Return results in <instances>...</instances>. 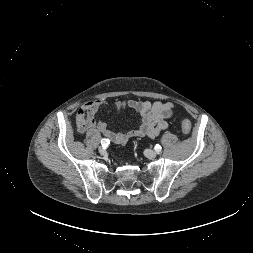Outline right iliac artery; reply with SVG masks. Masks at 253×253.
Wrapping results in <instances>:
<instances>
[{
	"label": "right iliac artery",
	"instance_id": "1",
	"mask_svg": "<svg viewBox=\"0 0 253 253\" xmlns=\"http://www.w3.org/2000/svg\"><path fill=\"white\" fill-rule=\"evenodd\" d=\"M110 143V141L108 139H102L101 140V144L103 148H106V146Z\"/></svg>",
	"mask_w": 253,
	"mask_h": 253
}]
</instances>
